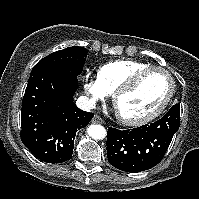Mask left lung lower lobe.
I'll list each match as a JSON object with an SVG mask.
<instances>
[{
	"instance_id": "1",
	"label": "left lung lower lobe",
	"mask_w": 199,
	"mask_h": 199,
	"mask_svg": "<svg viewBox=\"0 0 199 199\" xmlns=\"http://www.w3.org/2000/svg\"><path fill=\"white\" fill-rule=\"evenodd\" d=\"M180 126V104H175L158 121L134 129L110 127L107 132L109 163L126 172L156 166L164 157Z\"/></svg>"
}]
</instances>
